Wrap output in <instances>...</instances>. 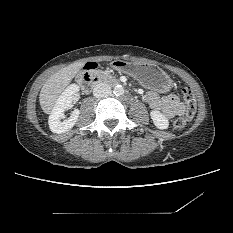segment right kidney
<instances>
[{
	"instance_id": "ca27d5eb",
	"label": "right kidney",
	"mask_w": 233,
	"mask_h": 233,
	"mask_svg": "<svg viewBox=\"0 0 233 233\" xmlns=\"http://www.w3.org/2000/svg\"><path fill=\"white\" fill-rule=\"evenodd\" d=\"M79 91V86L72 84L59 96L49 116V128L53 133L61 134L73 128L78 120L80 111L74 109L69 118L64 119V112L71 107L74 95Z\"/></svg>"
}]
</instances>
